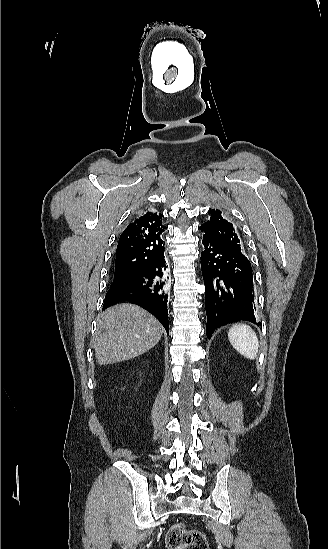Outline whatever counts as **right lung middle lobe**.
<instances>
[{
	"label": "right lung middle lobe",
	"mask_w": 328,
	"mask_h": 549,
	"mask_svg": "<svg viewBox=\"0 0 328 549\" xmlns=\"http://www.w3.org/2000/svg\"><path fill=\"white\" fill-rule=\"evenodd\" d=\"M130 277H132V276H128V277H114V281H113V283L111 284V286H112V285H115V284H118V283H120V282H122V281H124V280H126V279H128V278H130Z\"/></svg>",
	"instance_id": "dd1d6c3e"
}]
</instances>
